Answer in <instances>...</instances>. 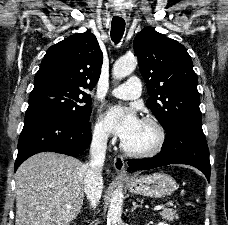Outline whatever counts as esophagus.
Instances as JSON below:
<instances>
[{"instance_id":"esophagus-1","label":"esophagus","mask_w":228,"mask_h":225,"mask_svg":"<svg viewBox=\"0 0 228 225\" xmlns=\"http://www.w3.org/2000/svg\"><path fill=\"white\" fill-rule=\"evenodd\" d=\"M114 168L119 176L127 177V172L125 170L124 158L121 155H116L114 158Z\"/></svg>"}]
</instances>
